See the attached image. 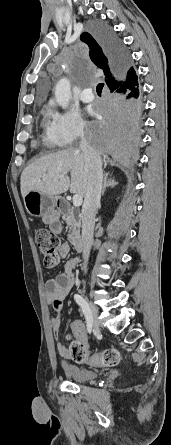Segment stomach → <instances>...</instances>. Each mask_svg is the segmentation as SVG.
Listing matches in <instances>:
<instances>
[{
	"label": "stomach",
	"instance_id": "stomach-1",
	"mask_svg": "<svg viewBox=\"0 0 171 445\" xmlns=\"http://www.w3.org/2000/svg\"><path fill=\"white\" fill-rule=\"evenodd\" d=\"M24 204L27 212L34 217H50L57 221L59 213L55 210L56 197L42 194L38 191H30L24 196Z\"/></svg>",
	"mask_w": 171,
	"mask_h": 445
}]
</instances>
